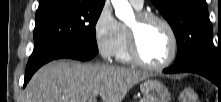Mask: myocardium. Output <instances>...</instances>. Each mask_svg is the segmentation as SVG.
<instances>
[{
    "mask_svg": "<svg viewBox=\"0 0 221 102\" xmlns=\"http://www.w3.org/2000/svg\"><path fill=\"white\" fill-rule=\"evenodd\" d=\"M136 20H137V25L135 27L129 25L126 27L127 46L132 61L150 70H162L167 68L169 65L173 63L178 52V39L174 28L164 17L151 12H145V11L138 12L136 14ZM151 21H155L162 24L168 31L171 39L172 47L170 55L164 62L160 64H152L146 61L140 52L138 44V36H137L138 27Z\"/></svg>",
    "mask_w": 221,
    "mask_h": 102,
    "instance_id": "obj_1",
    "label": "myocardium"
}]
</instances>
